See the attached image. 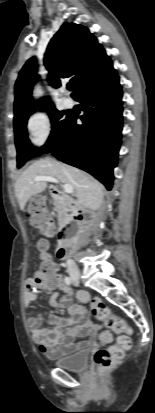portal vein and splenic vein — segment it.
<instances>
[{"instance_id": "18ae733b", "label": "portal vein and splenic vein", "mask_w": 155, "mask_h": 413, "mask_svg": "<svg viewBox=\"0 0 155 413\" xmlns=\"http://www.w3.org/2000/svg\"><path fill=\"white\" fill-rule=\"evenodd\" d=\"M40 181L59 183V180H57L56 178L51 177V176H38V177L34 178V180H33L31 183H33V182H40ZM63 190H64L66 193L70 194V193L73 192V187H72L71 185H69V184H64V185H63Z\"/></svg>"}]
</instances>
